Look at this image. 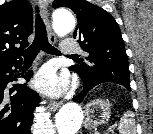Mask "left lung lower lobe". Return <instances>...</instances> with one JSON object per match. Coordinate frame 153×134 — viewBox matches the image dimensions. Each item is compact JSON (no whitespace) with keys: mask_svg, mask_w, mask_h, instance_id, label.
<instances>
[{"mask_svg":"<svg viewBox=\"0 0 153 134\" xmlns=\"http://www.w3.org/2000/svg\"><path fill=\"white\" fill-rule=\"evenodd\" d=\"M83 80V79H82ZM83 82H84V89L82 90V92L79 94V95H77L76 97H74L73 98V100L74 101H77V102H81L83 99H84V97L86 96V94L92 89V88H94L95 86H97V85H99V84H93V83H88V82H86V81H84L83 80ZM129 91H131V88L130 87H128L127 88Z\"/></svg>","mask_w":153,"mask_h":134,"instance_id":"1","label":"left lung lower lobe"}]
</instances>
